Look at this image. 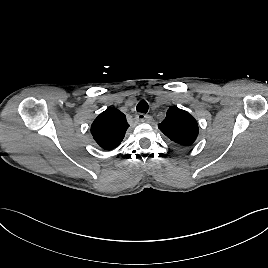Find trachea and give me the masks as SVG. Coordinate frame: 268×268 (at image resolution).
<instances>
[{
    "label": "trachea",
    "instance_id": "obj_1",
    "mask_svg": "<svg viewBox=\"0 0 268 268\" xmlns=\"http://www.w3.org/2000/svg\"><path fill=\"white\" fill-rule=\"evenodd\" d=\"M136 110L140 113L148 112V103L145 100H141L136 107Z\"/></svg>",
    "mask_w": 268,
    "mask_h": 268
}]
</instances>
